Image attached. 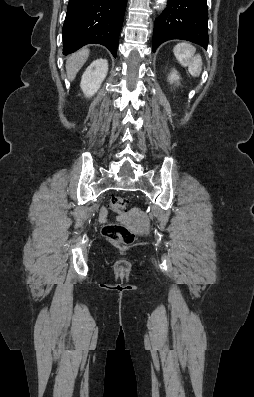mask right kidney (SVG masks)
<instances>
[{
  "mask_svg": "<svg viewBox=\"0 0 254 397\" xmlns=\"http://www.w3.org/2000/svg\"><path fill=\"white\" fill-rule=\"evenodd\" d=\"M108 72L106 59L93 61L82 75L80 87L86 97L93 96L101 86Z\"/></svg>",
  "mask_w": 254,
  "mask_h": 397,
  "instance_id": "ca27d5eb",
  "label": "right kidney"
}]
</instances>
